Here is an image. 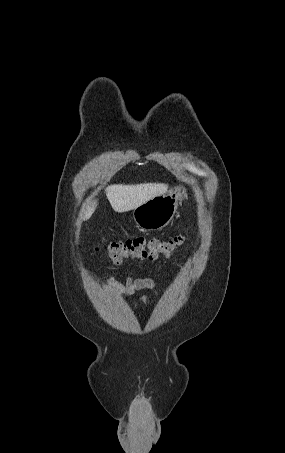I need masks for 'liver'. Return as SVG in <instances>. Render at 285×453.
<instances>
[{"label":"liver","mask_w":285,"mask_h":453,"mask_svg":"<svg viewBox=\"0 0 285 453\" xmlns=\"http://www.w3.org/2000/svg\"><path fill=\"white\" fill-rule=\"evenodd\" d=\"M168 189L163 183H144L137 185L114 184L106 188V196L118 213L127 212L142 205L148 200L164 194ZM97 207V201L89 203L83 212V220L91 217Z\"/></svg>","instance_id":"liver-1"}]
</instances>
